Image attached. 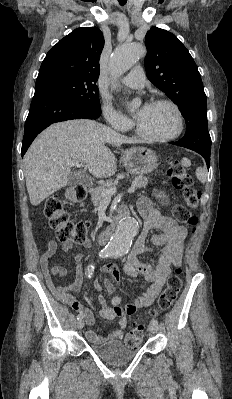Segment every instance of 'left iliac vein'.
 <instances>
[{
    "instance_id": "1",
    "label": "left iliac vein",
    "mask_w": 232,
    "mask_h": 399,
    "mask_svg": "<svg viewBox=\"0 0 232 399\" xmlns=\"http://www.w3.org/2000/svg\"><path fill=\"white\" fill-rule=\"evenodd\" d=\"M150 333H157L156 325H149Z\"/></svg>"
}]
</instances>
